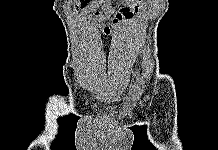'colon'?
Listing matches in <instances>:
<instances>
[{"mask_svg":"<svg viewBox=\"0 0 218 150\" xmlns=\"http://www.w3.org/2000/svg\"><path fill=\"white\" fill-rule=\"evenodd\" d=\"M85 0H80L79 5H81Z\"/></svg>","mask_w":218,"mask_h":150,"instance_id":"colon-1","label":"colon"}]
</instances>
